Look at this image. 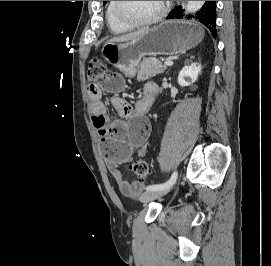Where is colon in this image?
<instances>
[{
	"label": "colon",
	"instance_id": "obj_1",
	"mask_svg": "<svg viewBox=\"0 0 271 266\" xmlns=\"http://www.w3.org/2000/svg\"><path fill=\"white\" fill-rule=\"evenodd\" d=\"M105 73V66L103 62L98 58H93L89 62L87 71V77L90 81H95L102 77ZM132 173L137 177L139 181H144L149 176V168L145 161L137 160L129 166Z\"/></svg>",
	"mask_w": 271,
	"mask_h": 266
}]
</instances>
